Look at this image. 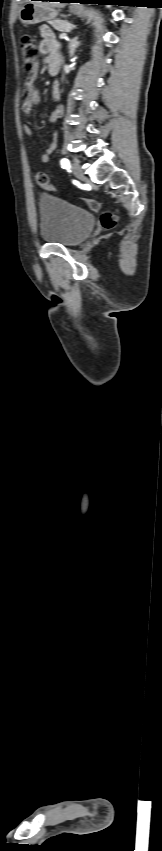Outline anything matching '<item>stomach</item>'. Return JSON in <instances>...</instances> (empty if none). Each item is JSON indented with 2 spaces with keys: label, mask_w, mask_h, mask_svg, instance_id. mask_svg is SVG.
<instances>
[{
  "label": "stomach",
  "mask_w": 162,
  "mask_h": 851,
  "mask_svg": "<svg viewBox=\"0 0 162 851\" xmlns=\"http://www.w3.org/2000/svg\"><path fill=\"white\" fill-rule=\"evenodd\" d=\"M71 10L75 14H79L81 9L79 5H71ZM58 10L50 7H44L38 3L29 0L19 12V20L24 25H33L43 21H50L57 17Z\"/></svg>",
  "instance_id": "0dacf381"
}]
</instances>
